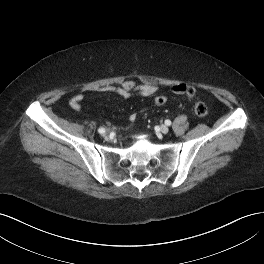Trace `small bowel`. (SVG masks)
<instances>
[{
	"label": "small bowel",
	"mask_w": 264,
	"mask_h": 264,
	"mask_svg": "<svg viewBox=\"0 0 264 264\" xmlns=\"http://www.w3.org/2000/svg\"><path fill=\"white\" fill-rule=\"evenodd\" d=\"M186 87L187 86L182 83L175 84L171 87V91L174 94L181 95L185 93ZM85 91L113 92L123 98H130L133 96L148 97L154 95L158 91V86L151 83L137 84L132 80H126L122 82L120 85L109 84L100 87L85 88L81 92L77 93L70 100V107L72 109L80 110L82 108V102L84 100ZM130 120H134V116H132Z\"/></svg>",
	"instance_id": "1"
}]
</instances>
